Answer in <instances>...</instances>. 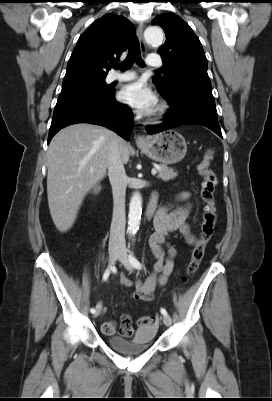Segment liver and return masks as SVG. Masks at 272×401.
<instances>
[{
  "instance_id": "liver-1",
  "label": "liver",
  "mask_w": 272,
  "mask_h": 401,
  "mask_svg": "<svg viewBox=\"0 0 272 401\" xmlns=\"http://www.w3.org/2000/svg\"><path fill=\"white\" fill-rule=\"evenodd\" d=\"M114 139H118L123 163H127L129 144L101 126L70 125L52 139L47 152V195L50 214L59 231L72 227L86 193L105 177Z\"/></svg>"
}]
</instances>
